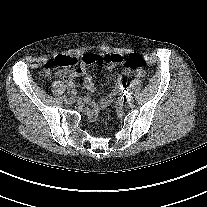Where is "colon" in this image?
<instances>
[{"instance_id": "5ec220e1", "label": "colon", "mask_w": 207, "mask_h": 207, "mask_svg": "<svg viewBox=\"0 0 207 207\" xmlns=\"http://www.w3.org/2000/svg\"><path fill=\"white\" fill-rule=\"evenodd\" d=\"M94 62L122 64L126 69L137 71H141L146 66L145 60L137 54H128L126 57L118 54H86L81 60L70 55H58L45 64L44 76L48 77L53 70H67L74 73L78 70L79 64H92Z\"/></svg>"}]
</instances>
